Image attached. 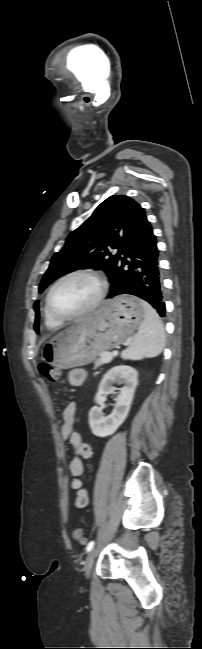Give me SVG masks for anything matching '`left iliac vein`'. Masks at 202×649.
Wrapping results in <instances>:
<instances>
[{
    "instance_id": "obj_1",
    "label": "left iliac vein",
    "mask_w": 202,
    "mask_h": 649,
    "mask_svg": "<svg viewBox=\"0 0 202 649\" xmlns=\"http://www.w3.org/2000/svg\"><path fill=\"white\" fill-rule=\"evenodd\" d=\"M95 557H96V549L94 548L89 552V554H88V556L86 558V561H85L84 571H85L86 577L90 576Z\"/></svg>"
}]
</instances>
